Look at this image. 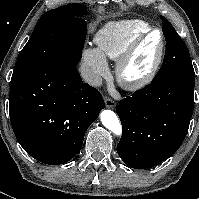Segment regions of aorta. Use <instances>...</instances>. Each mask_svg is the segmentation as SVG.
I'll use <instances>...</instances> for the list:
<instances>
[{"mask_svg":"<svg viewBox=\"0 0 199 199\" xmlns=\"http://www.w3.org/2000/svg\"><path fill=\"white\" fill-rule=\"evenodd\" d=\"M102 124L117 136H121L122 127L117 115L111 110H103L100 114Z\"/></svg>","mask_w":199,"mask_h":199,"instance_id":"obj_1","label":"aorta"}]
</instances>
